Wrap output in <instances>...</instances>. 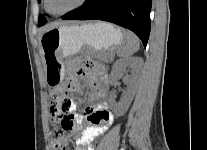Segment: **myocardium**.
<instances>
[{
	"instance_id": "myocardium-1",
	"label": "myocardium",
	"mask_w": 207,
	"mask_h": 150,
	"mask_svg": "<svg viewBox=\"0 0 207 150\" xmlns=\"http://www.w3.org/2000/svg\"><path fill=\"white\" fill-rule=\"evenodd\" d=\"M86 2H87V0H79L77 4H75L74 6H72L71 8H69L67 10H64L62 12H52L48 7V0H43L44 8H45L46 12L49 13V14H52L54 16H62V15L68 14V13L80 8Z\"/></svg>"
}]
</instances>
